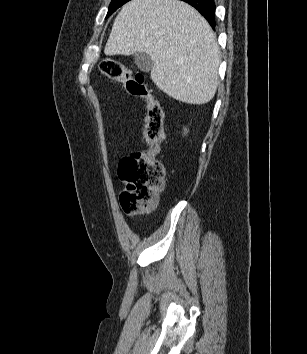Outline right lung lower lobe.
<instances>
[{
    "mask_svg": "<svg viewBox=\"0 0 307 354\" xmlns=\"http://www.w3.org/2000/svg\"><path fill=\"white\" fill-rule=\"evenodd\" d=\"M196 8L209 22L211 27L215 28V2L214 0H182Z\"/></svg>",
    "mask_w": 307,
    "mask_h": 354,
    "instance_id": "1",
    "label": "right lung lower lobe"
}]
</instances>
